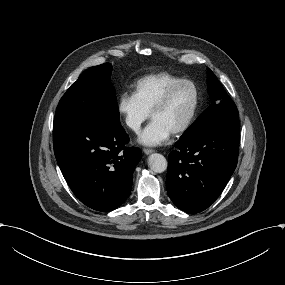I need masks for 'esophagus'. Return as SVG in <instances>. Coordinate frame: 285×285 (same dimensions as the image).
<instances>
[{
    "label": "esophagus",
    "mask_w": 285,
    "mask_h": 285,
    "mask_svg": "<svg viewBox=\"0 0 285 285\" xmlns=\"http://www.w3.org/2000/svg\"><path fill=\"white\" fill-rule=\"evenodd\" d=\"M143 152H144L146 155H149V154L153 153L154 150H153V149H143Z\"/></svg>",
    "instance_id": "obj_1"
}]
</instances>
